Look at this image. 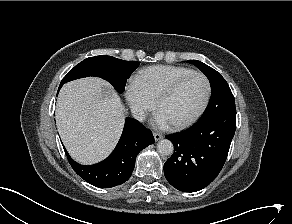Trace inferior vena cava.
Returning <instances> with one entry per match:
<instances>
[{"instance_id": "obj_1", "label": "inferior vena cava", "mask_w": 292, "mask_h": 224, "mask_svg": "<svg viewBox=\"0 0 292 224\" xmlns=\"http://www.w3.org/2000/svg\"><path fill=\"white\" fill-rule=\"evenodd\" d=\"M131 113L132 116L137 119L138 121H144L145 120V112L142 108L136 106V105H132L131 107Z\"/></svg>"}]
</instances>
